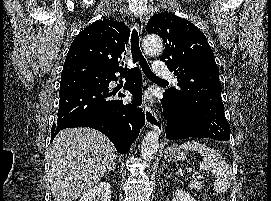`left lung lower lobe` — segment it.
I'll list each match as a JSON object with an SVG mask.
<instances>
[{
  "label": "left lung lower lobe",
  "mask_w": 271,
  "mask_h": 201,
  "mask_svg": "<svg viewBox=\"0 0 271 201\" xmlns=\"http://www.w3.org/2000/svg\"><path fill=\"white\" fill-rule=\"evenodd\" d=\"M163 114L167 120L166 136L168 139L176 140L187 137L210 138L201 131L194 123V119L185 114L173 98L164 93L162 100Z\"/></svg>",
  "instance_id": "1"
}]
</instances>
